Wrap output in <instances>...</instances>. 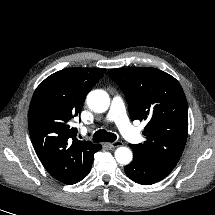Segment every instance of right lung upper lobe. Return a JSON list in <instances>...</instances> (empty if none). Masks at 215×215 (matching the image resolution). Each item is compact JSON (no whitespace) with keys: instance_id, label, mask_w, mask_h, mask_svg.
I'll return each instance as SVG.
<instances>
[{"instance_id":"right-lung-upper-lobe-1","label":"right lung upper lobe","mask_w":215,"mask_h":215,"mask_svg":"<svg viewBox=\"0 0 215 215\" xmlns=\"http://www.w3.org/2000/svg\"><path fill=\"white\" fill-rule=\"evenodd\" d=\"M106 69L66 68L47 77L35 90L28 112L32 144L48 173L66 184L82 180L99 144L76 139L71 121Z\"/></svg>"}]
</instances>
